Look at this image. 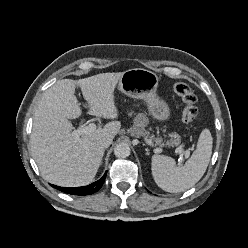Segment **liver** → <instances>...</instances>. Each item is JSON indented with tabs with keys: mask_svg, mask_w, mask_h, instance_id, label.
Instances as JSON below:
<instances>
[{
	"mask_svg": "<svg viewBox=\"0 0 248 248\" xmlns=\"http://www.w3.org/2000/svg\"><path fill=\"white\" fill-rule=\"evenodd\" d=\"M122 75L123 72L102 73L79 80L62 79L43 93L34 112L30 144L45 180L63 187L84 186L93 181L104 155L97 141L103 137L113 139L121 123L109 122L75 139L69 119L79 118L82 113L75 89L81 88L91 114L116 119L114 90Z\"/></svg>",
	"mask_w": 248,
	"mask_h": 248,
	"instance_id": "obj_1",
	"label": "liver"
}]
</instances>
